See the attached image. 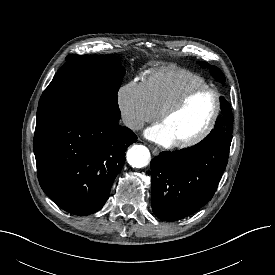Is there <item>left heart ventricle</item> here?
Returning a JSON list of instances; mask_svg holds the SVG:
<instances>
[{
    "label": "left heart ventricle",
    "instance_id": "left-heart-ventricle-1",
    "mask_svg": "<svg viewBox=\"0 0 275 275\" xmlns=\"http://www.w3.org/2000/svg\"><path fill=\"white\" fill-rule=\"evenodd\" d=\"M215 107V97L202 91L191 97L176 113L161 122L174 141L188 139L200 132L209 121Z\"/></svg>",
    "mask_w": 275,
    "mask_h": 275
}]
</instances>
